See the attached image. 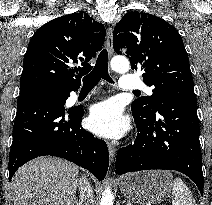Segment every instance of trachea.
<instances>
[{
    "instance_id": "trachea-1",
    "label": "trachea",
    "mask_w": 212,
    "mask_h": 205,
    "mask_svg": "<svg viewBox=\"0 0 212 205\" xmlns=\"http://www.w3.org/2000/svg\"><path fill=\"white\" fill-rule=\"evenodd\" d=\"M101 79L114 83L108 73V52L106 49L100 52L94 69L83 78V87L92 89ZM134 93H139V91H134Z\"/></svg>"
}]
</instances>
